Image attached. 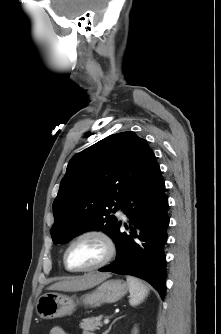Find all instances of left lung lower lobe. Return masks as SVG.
<instances>
[{"mask_svg": "<svg viewBox=\"0 0 221 334\" xmlns=\"http://www.w3.org/2000/svg\"><path fill=\"white\" fill-rule=\"evenodd\" d=\"M130 221L129 232H121L118 222L112 234L116 259L99 271L135 275L149 282L163 298L166 285L168 199L161 171L154 158L121 204Z\"/></svg>", "mask_w": 221, "mask_h": 334, "instance_id": "left-lung-lower-lobe-1", "label": "left lung lower lobe"}]
</instances>
